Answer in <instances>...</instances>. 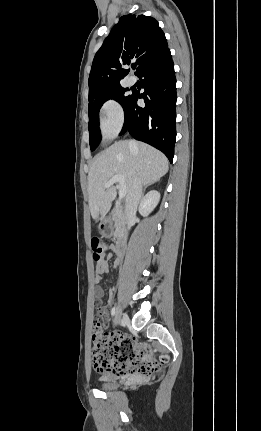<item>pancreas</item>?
<instances>
[{"instance_id":"1","label":"pancreas","mask_w":261,"mask_h":431,"mask_svg":"<svg viewBox=\"0 0 261 431\" xmlns=\"http://www.w3.org/2000/svg\"><path fill=\"white\" fill-rule=\"evenodd\" d=\"M125 214L122 206L117 205L113 213L114 226L116 228L115 235L119 236L125 225Z\"/></svg>"}]
</instances>
